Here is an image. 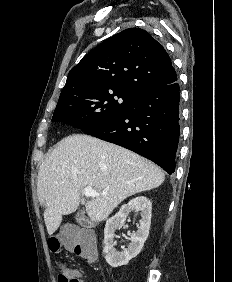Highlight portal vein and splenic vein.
<instances>
[{
    "label": "portal vein and splenic vein",
    "mask_w": 232,
    "mask_h": 282,
    "mask_svg": "<svg viewBox=\"0 0 232 282\" xmlns=\"http://www.w3.org/2000/svg\"><path fill=\"white\" fill-rule=\"evenodd\" d=\"M83 193H84L85 197H97V196L100 195L97 191H95L90 186L85 187L84 190H83ZM104 194L105 193H102V195H104Z\"/></svg>",
    "instance_id": "18ae733b"
}]
</instances>
